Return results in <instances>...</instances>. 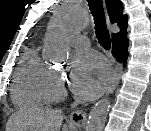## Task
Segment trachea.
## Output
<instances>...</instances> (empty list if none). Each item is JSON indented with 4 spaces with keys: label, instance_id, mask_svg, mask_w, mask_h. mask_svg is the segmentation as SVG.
<instances>
[{
    "label": "trachea",
    "instance_id": "3493384b",
    "mask_svg": "<svg viewBox=\"0 0 151 131\" xmlns=\"http://www.w3.org/2000/svg\"><path fill=\"white\" fill-rule=\"evenodd\" d=\"M95 23V34L99 44L109 50L111 47L110 34L107 29L102 0H87Z\"/></svg>",
    "mask_w": 151,
    "mask_h": 131
}]
</instances>
